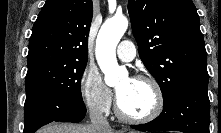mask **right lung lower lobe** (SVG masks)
Masks as SVG:
<instances>
[{
    "label": "right lung lower lobe",
    "instance_id": "right-lung-lower-lobe-1",
    "mask_svg": "<svg viewBox=\"0 0 221 133\" xmlns=\"http://www.w3.org/2000/svg\"><path fill=\"white\" fill-rule=\"evenodd\" d=\"M24 133H34L52 121L80 122L86 107L82 100L52 98L39 90L26 91Z\"/></svg>",
    "mask_w": 221,
    "mask_h": 133
}]
</instances>
